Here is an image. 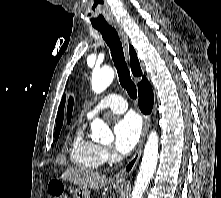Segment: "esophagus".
I'll list each match as a JSON object with an SVG mask.
<instances>
[{
  "label": "esophagus",
  "instance_id": "esophagus-1",
  "mask_svg": "<svg viewBox=\"0 0 221 198\" xmlns=\"http://www.w3.org/2000/svg\"><path fill=\"white\" fill-rule=\"evenodd\" d=\"M113 27L117 31V33L122 41V44L124 47V53L126 55V58L128 59L129 58V51H128L129 38H128L125 30L123 29V27L120 24H113ZM149 126H150V117L148 115H146V116H144L143 130H142V134H141V138H140L138 147H137L134 155L132 156V158L125 165V167L122 168L116 175H114V177L112 179L113 182L121 183V182L125 181L131 175V173L134 171V169L136 168L138 161L141 157L142 151H143V147H144V143H145V140L147 137Z\"/></svg>",
  "mask_w": 221,
  "mask_h": 198
}]
</instances>
